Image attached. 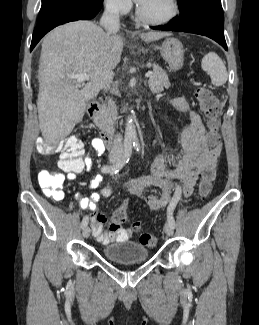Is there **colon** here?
<instances>
[{
	"label": "colon",
	"instance_id": "1",
	"mask_svg": "<svg viewBox=\"0 0 259 325\" xmlns=\"http://www.w3.org/2000/svg\"><path fill=\"white\" fill-rule=\"evenodd\" d=\"M195 97L198 104L207 118L208 134L207 141L211 146L219 142V112L220 103L215 94L207 87L200 86L195 90ZM36 150L42 155L52 154L61 151L62 165L60 168L65 171L66 168L75 167L82 157L83 146L82 142L76 136H69L66 139L55 143L47 144L42 139L36 141ZM216 177L215 168H208L203 171L201 182L199 184V194L204 199L211 192L213 182ZM64 182V174L59 170H43L38 174V183L42 191L48 197L55 200L62 198V186ZM128 216V204L123 203L112 216V222L116 225H121ZM134 232L141 230V222L134 221L131 225ZM139 241L146 247H154L156 245V237L148 232L140 234Z\"/></svg>",
	"mask_w": 259,
	"mask_h": 325
}]
</instances>
